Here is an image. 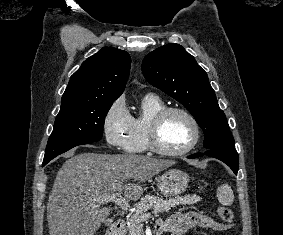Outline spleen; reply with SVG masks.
Wrapping results in <instances>:
<instances>
[{"instance_id": "1", "label": "spleen", "mask_w": 283, "mask_h": 235, "mask_svg": "<svg viewBox=\"0 0 283 235\" xmlns=\"http://www.w3.org/2000/svg\"><path fill=\"white\" fill-rule=\"evenodd\" d=\"M217 198L223 206H231L234 202L232 188L228 184H223L217 188Z\"/></svg>"}]
</instances>
